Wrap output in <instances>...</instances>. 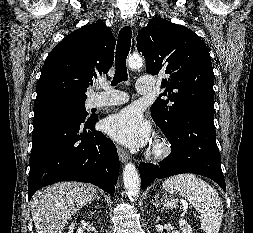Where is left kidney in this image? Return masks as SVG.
<instances>
[{"label": "left kidney", "instance_id": "1", "mask_svg": "<svg viewBox=\"0 0 253 233\" xmlns=\"http://www.w3.org/2000/svg\"><path fill=\"white\" fill-rule=\"evenodd\" d=\"M179 227L182 230V233H192L190 224L184 219L179 220Z\"/></svg>", "mask_w": 253, "mask_h": 233}]
</instances>
